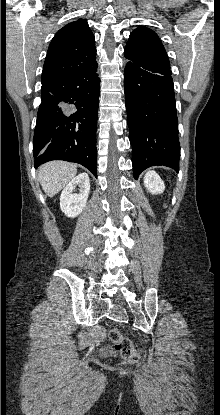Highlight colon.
Returning a JSON list of instances; mask_svg holds the SVG:
<instances>
[{"label": "colon", "mask_w": 220, "mask_h": 415, "mask_svg": "<svg viewBox=\"0 0 220 415\" xmlns=\"http://www.w3.org/2000/svg\"><path fill=\"white\" fill-rule=\"evenodd\" d=\"M108 336L114 350L120 354L125 363L131 364L138 360V355L131 340L124 337L118 329L112 328Z\"/></svg>", "instance_id": "obj_1"}]
</instances>
